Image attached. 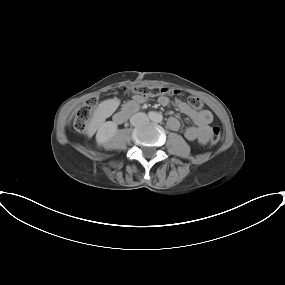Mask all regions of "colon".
Listing matches in <instances>:
<instances>
[{"label":"colon","mask_w":285,"mask_h":285,"mask_svg":"<svg viewBox=\"0 0 285 285\" xmlns=\"http://www.w3.org/2000/svg\"><path fill=\"white\" fill-rule=\"evenodd\" d=\"M130 94L140 95L142 97H156L160 95L178 94L179 90L171 89L165 86L140 84L126 88ZM98 102L97 97L89 98L75 113L73 126L74 129L83 133L86 130L87 124L92 117L94 108ZM189 105L196 110L203 108L202 99L197 96L188 97ZM221 139V129L218 126H213L210 130V141L213 145L217 144Z\"/></svg>","instance_id":"1"}]
</instances>
